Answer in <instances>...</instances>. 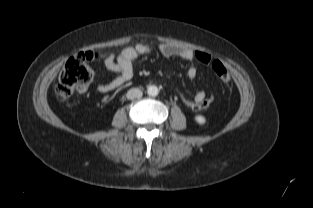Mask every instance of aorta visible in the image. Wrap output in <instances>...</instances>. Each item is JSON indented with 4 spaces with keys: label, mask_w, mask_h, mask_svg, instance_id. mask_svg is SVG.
Masks as SVG:
<instances>
[{
    "label": "aorta",
    "mask_w": 313,
    "mask_h": 208,
    "mask_svg": "<svg viewBox=\"0 0 313 208\" xmlns=\"http://www.w3.org/2000/svg\"><path fill=\"white\" fill-rule=\"evenodd\" d=\"M147 93L149 96H157L159 93V89L155 85L148 86Z\"/></svg>",
    "instance_id": "obj_1"
}]
</instances>
